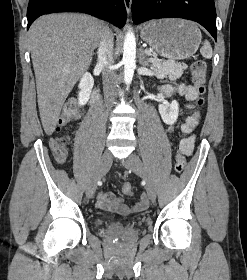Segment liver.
<instances>
[{
    "instance_id": "obj_1",
    "label": "liver",
    "mask_w": 247,
    "mask_h": 280,
    "mask_svg": "<svg viewBox=\"0 0 247 280\" xmlns=\"http://www.w3.org/2000/svg\"><path fill=\"white\" fill-rule=\"evenodd\" d=\"M102 25L94 17L73 13L44 15L31 25L38 107L47 135L55 130L66 98L90 66Z\"/></svg>"
}]
</instances>
